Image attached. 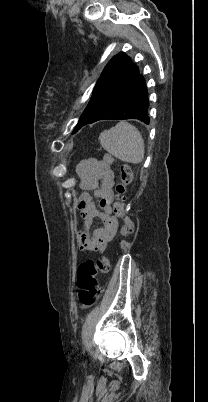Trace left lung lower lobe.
I'll return each instance as SVG.
<instances>
[{"label": "left lung lower lobe", "instance_id": "1", "mask_svg": "<svg viewBox=\"0 0 208 402\" xmlns=\"http://www.w3.org/2000/svg\"><path fill=\"white\" fill-rule=\"evenodd\" d=\"M105 119H138L149 124V99L142 75L139 74L125 94L107 109L98 120Z\"/></svg>", "mask_w": 208, "mask_h": 402}]
</instances>
